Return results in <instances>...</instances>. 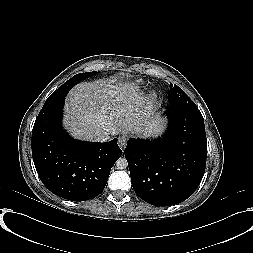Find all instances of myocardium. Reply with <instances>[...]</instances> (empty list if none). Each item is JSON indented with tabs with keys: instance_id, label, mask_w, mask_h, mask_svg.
I'll return each instance as SVG.
<instances>
[{
	"instance_id": "myocardium-1",
	"label": "myocardium",
	"mask_w": 253,
	"mask_h": 253,
	"mask_svg": "<svg viewBox=\"0 0 253 253\" xmlns=\"http://www.w3.org/2000/svg\"><path fill=\"white\" fill-rule=\"evenodd\" d=\"M149 101H154L157 98V93L154 90H150L147 96Z\"/></svg>"
}]
</instances>
